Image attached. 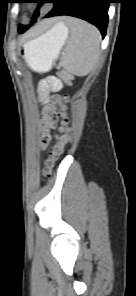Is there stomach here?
I'll use <instances>...</instances> for the list:
<instances>
[{"label":"stomach","instance_id":"obj_1","mask_svg":"<svg viewBox=\"0 0 136 296\" xmlns=\"http://www.w3.org/2000/svg\"><path fill=\"white\" fill-rule=\"evenodd\" d=\"M68 37V30L57 23L46 33L21 45L22 55L27 64L36 71H48Z\"/></svg>","mask_w":136,"mask_h":296}]
</instances>
